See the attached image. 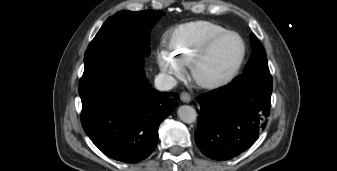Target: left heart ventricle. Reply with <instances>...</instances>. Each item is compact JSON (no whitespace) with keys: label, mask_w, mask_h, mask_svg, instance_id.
I'll use <instances>...</instances> for the list:
<instances>
[{"label":"left heart ventricle","mask_w":337,"mask_h":171,"mask_svg":"<svg viewBox=\"0 0 337 171\" xmlns=\"http://www.w3.org/2000/svg\"><path fill=\"white\" fill-rule=\"evenodd\" d=\"M241 44L237 37L229 36L218 42L199 66V75L204 79H219L226 75L238 61Z\"/></svg>","instance_id":"left-heart-ventricle-1"}]
</instances>
